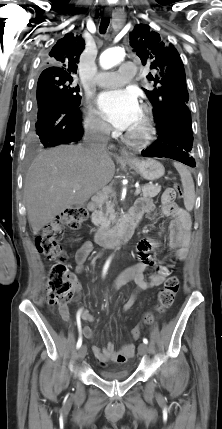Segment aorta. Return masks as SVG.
Instances as JSON below:
<instances>
[{"label": "aorta", "mask_w": 222, "mask_h": 429, "mask_svg": "<svg viewBox=\"0 0 222 429\" xmlns=\"http://www.w3.org/2000/svg\"><path fill=\"white\" fill-rule=\"evenodd\" d=\"M124 57V49L120 47L109 48L100 55V65L103 69H110L120 63Z\"/></svg>", "instance_id": "obj_1"}]
</instances>
